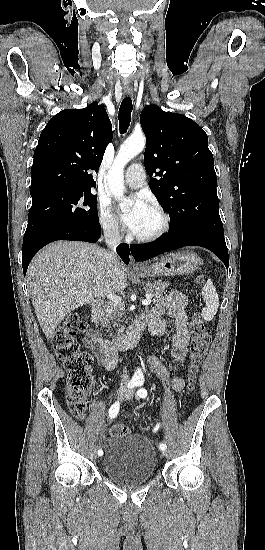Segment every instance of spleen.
<instances>
[{
  "instance_id": "1",
  "label": "spleen",
  "mask_w": 265,
  "mask_h": 550,
  "mask_svg": "<svg viewBox=\"0 0 265 550\" xmlns=\"http://www.w3.org/2000/svg\"><path fill=\"white\" fill-rule=\"evenodd\" d=\"M202 296L206 302V307L202 310V317L206 321H211L219 307V297L211 279H208L204 285Z\"/></svg>"
}]
</instances>
